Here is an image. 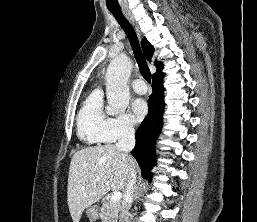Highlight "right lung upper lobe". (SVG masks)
<instances>
[{"label":"right lung upper lobe","mask_w":257,"mask_h":222,"mask_svg":"<svg viewBox=\"0 0 257 222\" xmlns=\"http://www.w3.org/2000/svg\"><path fill=\"white\" fill-rule=\"evenodd\" d=\"M142 49H143V52H144V55H145L146 59L148 61H151V58H152L153 53H154V48L148 42V40L146 38H143V40H142ZM154 63H155V66H156L157 70L153 75L160 73L161 70L163 69L162 62L155 60Z\"/></svg>","instance_id":"obj_1"}]
</instances>
